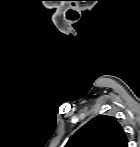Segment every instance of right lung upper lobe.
I'll return each instance as SVG.
<instances>
[{
  "label": "right lung upper lobe",
  "instance_id": "cb5924a9",
  "mask_svg": "<svg viewBox=\"0 0 140 147\" xmlns=\"http://www.w3.org/2000/svg\"><path fill=\"white\" fill-rule=\"evenodd\" d=\"M65 147H128V139L115 117L99 115L70 137Z\"/></svg>",
  "mask_w": 140,
  "mask_h": 147
}]
</instances>
